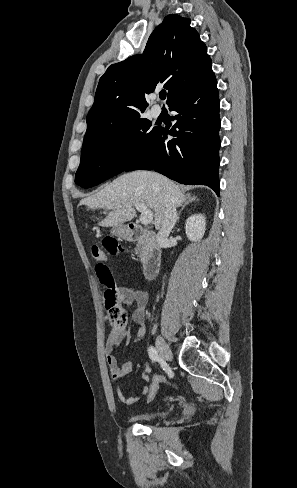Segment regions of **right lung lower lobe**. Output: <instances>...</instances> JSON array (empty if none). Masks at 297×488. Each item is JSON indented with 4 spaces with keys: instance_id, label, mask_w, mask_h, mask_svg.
<instances>
[{
    "instance_id": "right-lung-lower-lobe-1",
    "label": "right lung lower lobe",
    "mask_w": 297,
    "mask_h": 488,
    "mask_svg": "<svg viewBox=\"0 0 297 488\" xmlns=\"http://www.w3.org/2000/svg\"><path fill=\"white\" fill-rule=\"evenodd\" d=\"M215 75L170 106L177 122L159 129L145 151L125 171L155 170L182 184H202L219 195V97ZM168 135L173 138L169 140Z\"/></svg>"
}]
</instances>
